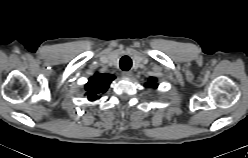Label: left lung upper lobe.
Here are the masks:
<instances>
[{"instance_id": "1", "label": "left lung upper lobe", "mask_w": 248, "mask_h": 158, "mask_svg": "<svg viewBox=\"0 0 248 158\" xmlns=\"http://www.w3.org/2000/svg\"><path fill=\"white\" fill-rule=\"evenodd\" d=\"M158 84L156 83L155 78H150L146 84V87L157 88Z\"/></svg>"}]
</instances>
